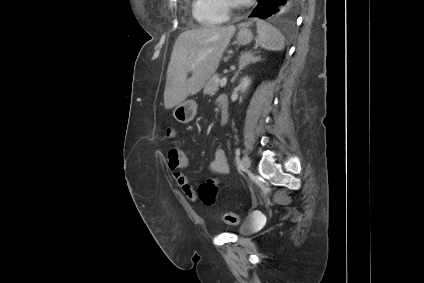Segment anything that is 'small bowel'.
<instances>
[{
	"label": "small bowel",
	"mask_w": 424,
	"mask_h": 283,
	"mask_svg": "<svg viewBox=\"0 0 424 283\" xmlns=\"http://www.w3.org/2000/svg\"><path fill=\"white\" fill-rule=\"evenodd\" d=\"M189 165V160L185 155V163L181 167L177 169H172V176L176 181L179 188L182 190L184 195L191 201H195L196 191L194 186L192 185L190 179L182 172V170ZM209 170L212 173H217L221 175H225L229 172V163L226 156V153L223 149H217L214 153V158L209 164Z\"/></svg>",
	"instance_id": "1"
}]
</instances>
